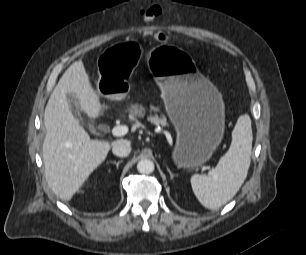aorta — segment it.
Instances as JSON below:
<instances>
[{"label": "aorta", "instance_id": "1", "mask_svg": "<svg viewBox=\"0 0 306 255\" xmlns=\"http://www.w3.org/2000/svg\"><path fill=\"white\" fill-rule=\"evenodd\" d=\"M137 170L141 174H150L154 171V163L149 159H142L137 164Z\"/></svg>", "mask_w": 306, "mask_h": 255}]
</instances>
